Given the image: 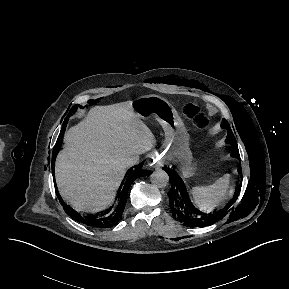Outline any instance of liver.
Returning <instances> with one entry per match:
<instances>
[{"label":"liver","mask_w":289,"mask_h":289,"mask_svg":"<svg viewBox=\"0 0 289 289\" xmlns=\"http://www.w3.org/2000/svg\"><path fill=\"white\" fill-rule=\"evenodd\" d=\"M64 142L55 162L59 193L75 209L89 212L113 202L129 160L155 145L132 101L92 108L65 133Z\"/></svg>","instance_id":"6515ba94"}]
</instances>
